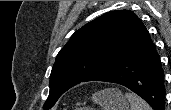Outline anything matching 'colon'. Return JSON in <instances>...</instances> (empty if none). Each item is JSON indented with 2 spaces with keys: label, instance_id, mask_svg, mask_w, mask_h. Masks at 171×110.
<instances>
[{
  "label": "colon",
  "instance_id": "5ec220e1",
  "mask_svg": "<svg viewBox=\"0 0 171 110\" xmlns=\"http://www.w3.org/2000/svg\"><path fill=\"white\" fill-rule=\"evenodd\" d=\"M77 110H88V109L85 108V107H82V108H79V109H77Z\"/></svg>",
  "mask_w": 171,
  "mask_h": 110
}]
</instances>
